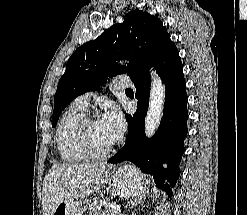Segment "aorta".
Instances as JSON below:
<instances>
[{"label": "aorta", "mask_w": 247, "mask_h": 215, "mask_svg": "<svg viewBox=\"0 0 247 215\" xmlns=\"http://www.w3.org/2000/svg\"><path fill=\"white\" fill-rule=\"evenodd\" d=\"M150 91V100L145 118V135L152 137L161 122L165 102V86L156 73H153Z\"/></svg>", "instance_id": "1"}]
</instances>
